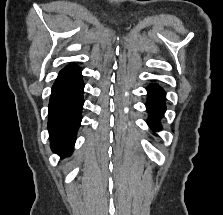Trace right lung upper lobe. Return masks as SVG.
<instances>
[{
	"label": "right lung upper lobe",
	"mask_w": 223,
	"mask_h": 215,
	"mask_svg": "<svg viewBox=\"0 0 223 215\" xmlns=\"http://www.w3.org/2000/svg\"><path fill=\"white\" fill-rule=\"evenodd\" d=\"M79 70H80V68L77 65L71 64L60 71L58 78L72 75V74L78 72Z\"/></svg>",
	"instance_id": "right-lung-upper-lobe-1"
}]
</instances>
